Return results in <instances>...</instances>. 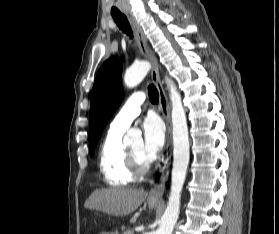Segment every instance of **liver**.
<instances>
[{
    "instance_id": "6515ba94",
    "label": "liver",
    "mask_w": 279,
    "mask_h": 234,
    "mask_svg": "<svg viewBox=\"0 0 279 234\" xmlns=\"http://www.w3.org/2000/svg\"><path fill=\"white\" fill-rule=\"evenodd\" d=\"M143 189L116 187L95 190L85 201L84 207L112 216H125L134 212L146 199Z\"/></svg>"
}]
</instances>
